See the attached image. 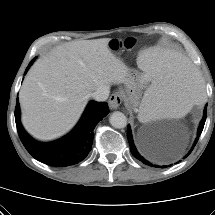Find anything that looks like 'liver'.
<instances>
[{"label":"liver","instance_id":"6515ba94","mask_svg":"<svg viewBox=\"0 0 215 215\" xmlns=\"http://www.w3.org/2000/svg\"><path fill=\"white\" fill-rule=\"evenodd\" d=\"M109 42H69L34 63L19 92L22 124L33 137L46 141L62 136L76 124L94 91L124 82L129 69Z\"/></svg>","mask_w":215,"mask_h":215}]
</instances>
